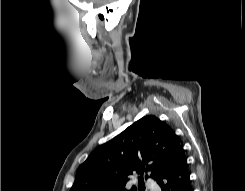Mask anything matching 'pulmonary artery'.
<instances>
[{
	"instance_id": "pulmonary-artery-1",
	"label": "pulmonary artery",
	"mask_w": 245,
	"mask_h": 191,
	"mask_svg": "<svg viewBox=\"0 0 245 191\" xmlns=\"http://www.w3.org/2000/svg\"><path fill=\"white\" fill-rule=\"evenodd\" d=\"M147 187L150 188L152 191H160V186L158 183L152 179H148L147 182Z\"/></svg>"
}]
</instances>
